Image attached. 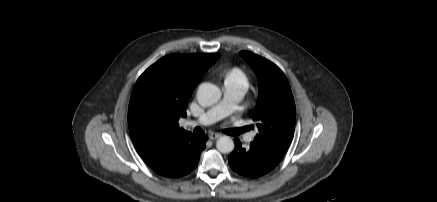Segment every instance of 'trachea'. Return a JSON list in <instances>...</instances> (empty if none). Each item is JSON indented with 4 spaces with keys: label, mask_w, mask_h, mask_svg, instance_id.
<instances>
[{
    "label": "trachea",
    "mask_w": 437,
    "mask_h": 202,
    "mask_svg": "<svg viewBox=\"0 0 437 202\" xmlns=\"http://www.w3.org/2000/svg\"><path fill=\"white\" fill-rule=\"evenodd\" d=\"M246 130H247L246 128H241V129H229V130H226L225 132H226L227 134H230V135H238V134H240V133H242V132H244V131H246ZM193 132H194V134H196V135H200V134H203V133H204L203 129H201L200 127H196V128H194Z\"/></svg>",
    "instance_id": "3493384b"
}]
</instances>
